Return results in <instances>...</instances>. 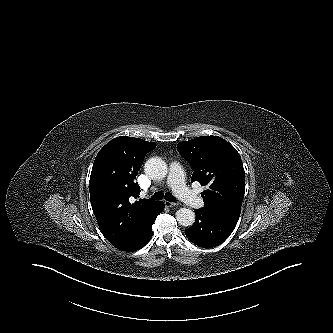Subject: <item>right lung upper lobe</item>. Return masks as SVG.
Returning <instances> with one entry per match:
<instances>
[{
  "instance_id": "1",
  "label": "right lung upper lobe",
  "mask_w": 333,
  "mask_h": 333,
  "mask_svg": "<svg viewBox=\"0 0 333 333\" xmlns=\"http://www.w3.org/2000/svg\"><path fill=\"white\" fill-rule=\"evenodd\" d=\"M154 142L120 136L98 153L90 176V201L104 237L126 250L157 215L160 202L134 201L140 188L135 182L143 159Z\"/></svg>"
}]
</instances>
